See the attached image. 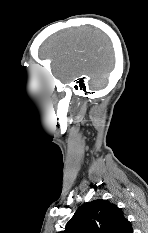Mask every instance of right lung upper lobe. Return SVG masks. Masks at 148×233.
<instances>
[{"label":"right lung upper lobe","mask_w":148,"mask_h":233,"mask_svg":"<svg viewBox=\"0 0 148 233\" xmlns=\"http://www.w3.org/2000/svg\"><path fill=\"white\" fill-rule=\"evenodd\" d=\"M60 233H133V229L120 208L98 199L80 206Z\"/></svg>","instance_id":"obj_1"}]
</instances>
